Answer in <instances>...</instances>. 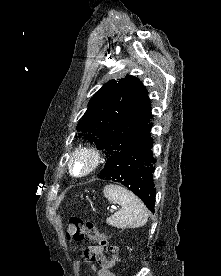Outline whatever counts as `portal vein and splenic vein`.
<instances>
[{"label":"portal vein and splenic vein","instance_id":"18ae733b","mask_svg":"<svg viewBox=\"0 0 221 276\" xmlns=\"http://www.w3.org/2000/svg\"><path fill=\"white\" fill-rule=\"evenodd\" d=\"M115 209H116V208H115ZM110 212L113 213V212H114V209H111Z\"/></svg>","mask_w":221,"mask_h":276}]
</instances>
